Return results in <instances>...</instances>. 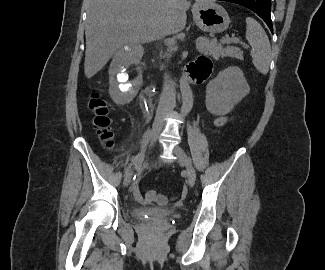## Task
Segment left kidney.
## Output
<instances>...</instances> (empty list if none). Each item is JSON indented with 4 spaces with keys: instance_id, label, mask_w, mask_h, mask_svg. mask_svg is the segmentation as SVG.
I'll return each mask as SVG.
<instances>
[{
    "instance_id": "left-kidney-1",
    "label": "left kidney",
    "mask_w": 325,
    "mask_h": 270,
    "mask_svg": "<svg viewBox=\"0 0 325 270\" xmlns=\"http://www.w3.org/2000/svg\"><path fill=\"white\" fill-rule=\"evenodd\" d=\"M250 91L239 67L232 66L219 72L206 87V108L213 115H225Z\"/></svg>"
}]
</instances>
